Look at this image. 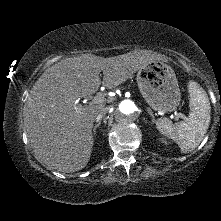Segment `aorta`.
<instances>
[{"label": "aorta", "instance_id": "obj_1", "mask_svg": "<svg viewBox=\"0 0 221 221\" xmlns=\"http://www.w3.org/2000/svg\"><path fill=\"white\" fill-rule=\"evenodd\" d=\"M137 106L132 100H122L115 107V119L121 124L133 122L137 117Z\"/></svg>", "mask_w": 221, "mask_h": 221}]
</instances>
